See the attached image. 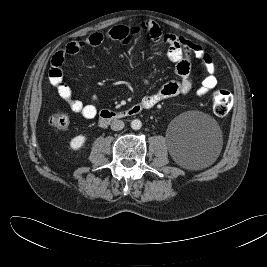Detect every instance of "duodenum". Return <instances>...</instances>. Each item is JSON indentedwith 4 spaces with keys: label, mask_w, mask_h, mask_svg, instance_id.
I'll return each instance as SVG.
<instances>
[{
    "label": "duodenum",
    "mask_w": 267,
    "mask_h": 267,
    "mask_svg": "<svg viewBox=\"0 0 267 267\" xmlns=\"http://www.w3.org/2000/svg\"><path fill=\"white\" fill-rule=\"evenodd\" d=\"M145 107L142 104H135L125 110H102L99 116V123L105 125L112 121L128 118L139 114Z\"/></svg>",
    "instance_id": "1"
}]
</instances>
